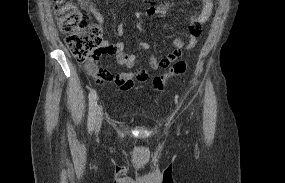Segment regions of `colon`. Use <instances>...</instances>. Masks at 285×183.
Listing matches in <instances>:
<instances>
[{"mask_svg": "<svg viewBox=\"0 0 285 183\" xmlns=\"http://www.w3.org/2000/svg\"><path fill=\"white\" fill-rule=\"evenodd\" d=\"M53 10L60 30L67 33L66 44L78 61L88 62L97 57L102 48L101 29L90 24V18L73 0H53ZM188 70L185 61L175 62L169 73L153 79V90L162 92L169 82L182 77ZM138 79L142 76L137 75Z\"/></svg>", "mask_w": 285, "mask_h": 183, "instance_id": "colon-1", "label": "colon"}]
</instances>
